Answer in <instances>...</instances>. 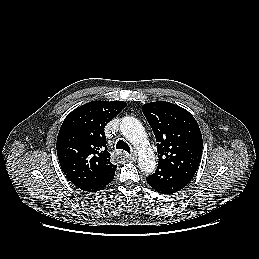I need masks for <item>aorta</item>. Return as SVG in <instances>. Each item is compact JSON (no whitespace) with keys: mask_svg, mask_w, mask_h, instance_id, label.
<instances>
[{"mask_svg":"<svg viewBox=\"0 0 259 259\" xmlns=\"http://www.w3.org/2000/svg\"><path fill=\"white\" fill-rule=\"evenodd\" d=\"M122 135L138 149V164L141 171L153 173L156 169L155 155L148 147L147 134L142 123L135 117L125 116L120 123Z\"/></svg>","mask_w":259,"mask_h":259,"instance_id":"762f6f07","label":"aorta"}]
</instances>
